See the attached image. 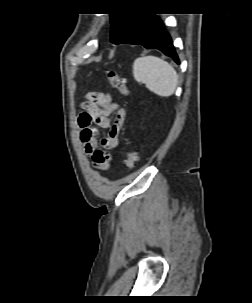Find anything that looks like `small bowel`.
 <instances>
[{"mask_svg": "<svg viewBox=\"0 0 252 303\" xmlns=\"http://www.w3.org/2000/svg\"><path fill=\"white\" fill-rule=\"evenodd\" d=\"M84 111L79 125L80 139L84 144L86 155L93 165L100 170H108L112 159V151L118 145V135L125 120V110L111 100L110 96L91 90L85 95L82 104ZM99 129H108L104 137H100Z\"/></svg>", "mask_w": 252, "mask_h": 303, "instance_id": "1", "label": "small bowel"}]
</instances>
